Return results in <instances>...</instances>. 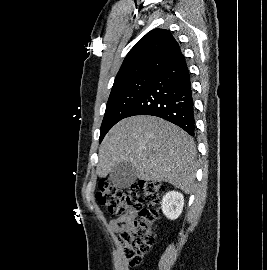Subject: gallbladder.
Returning <instances> with one entry per match:
<instances>
[{
	"instance_id": "gallbladder-1",
	"label": "gallbladder",
	"mask_w": 267,
	"mask_h": 270,
	"mask_svg": "<svg viewBox=\"0 0 267 270\" xmlns=\"http://www.w3.org/2000/svg\"><path fill=\"white\" fill-rule=\"evenodd\" d=\"M136 178V169L128 162L114 165L109 175L111 183L120 189L131 186L135 182Z\"/></svg>"
}]
</instances>
